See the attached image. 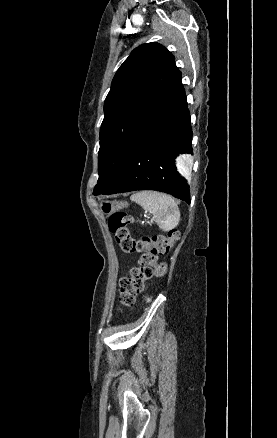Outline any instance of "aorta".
<instances>
[{"label": "aorta", "mask_w": 277, "mask_h": 438, "mask_svg": "<svg viewBox=\"0 0 277 438\" xmlns=\"http://www.w3.org/2000/svg\"><path fill=\"white\" fill-rule=\"evenodd\" d=\"M193 166V159L190 156H182L180 160V172L184 175H189Z\"/></svg>", "instance_id": "1"}]
</instances>
